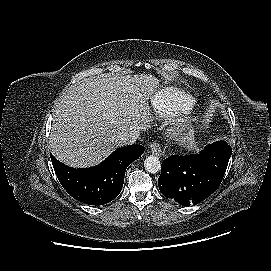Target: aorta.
<instances>
[{"label": "aorta", "instance_id": "obj_1", "mask_svg": "<svg viewBox=\"0 0 271 271\" xmlns=\"http://www.w3.org/2000/svg\"><path fill=\"white\" fill-rule=\"evenodd\" d=\"M144 167L151 174L157 173L161 169V163L158 157L150 155L144 160Z\"/></svg>", "mask_w": 271, "mask_h": 271}]
</instances>
